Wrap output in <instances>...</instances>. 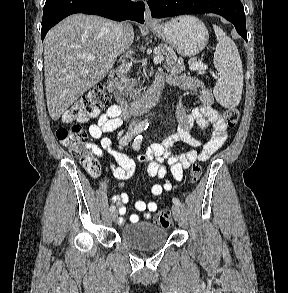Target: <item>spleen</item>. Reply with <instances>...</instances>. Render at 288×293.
<instances>
[{
	"label": "spleen",
	"mask_w": 288,
	"mask_h": 293,
	"mask_svg": "<svg viewBox=\"0 0 288 293\" xmlns=\"http://www.w3.org/2000/svg\"><path fill=\"white\" fill-rule=\"evenodd\" d=\"M218 44L213 63L219 72V79L213 93L224 107L232 108L239 104L243 89V67L234 41L217 25H213Z\"/></svg>",
	"instance_id": "spleen-1"
}]
</instances>
